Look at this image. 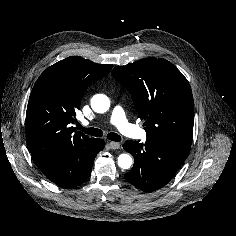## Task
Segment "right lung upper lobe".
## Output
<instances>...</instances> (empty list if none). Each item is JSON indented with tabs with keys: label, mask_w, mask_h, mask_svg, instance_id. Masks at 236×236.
I'll list each match as a JSON object with an SVG mask.
<instances>
[{
	"label": "right lung upper lobe",
	"mask_w": 236,
	"mask_h": 236,
	"mask_svg": "<svg viewBox=\"0 0 236 236\" xmlns=\"http://www.w3.org/2000/svg\"><path fill=\"white\" fill-rule=\"evenodd\" d=\"M111 69L112 65L72 56L40 75L26 112L27 145L36 164L94 141L72 125L87 88Z\"/></svg>",
	"instance_id": "right-lung-upper-lobe-1"
}]
</instances>
